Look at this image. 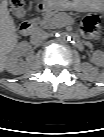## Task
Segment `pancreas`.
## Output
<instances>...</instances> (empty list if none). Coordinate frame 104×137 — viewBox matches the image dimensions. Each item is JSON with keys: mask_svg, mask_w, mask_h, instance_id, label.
I'll use <instances>...</instances> for the list:
<instances>
[{"mask_svg": "<svg viewBox=\"0 0 104 137\" xmlns=\"http://www.w3.org/2000/svg\"><path fill=\"white\" fill-rule=\"evenodd\" d=\"M67 16L64 13H50L43 17V19H37L38 24L43 28L61 27L66 24Z\"/></svg>", "mask_w": 104, "mask_h": 137, "instance_id": "1", "label": "pancreas"}]
</instances>
